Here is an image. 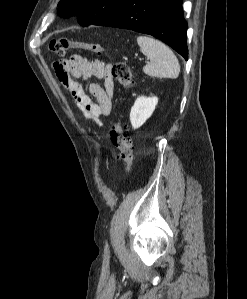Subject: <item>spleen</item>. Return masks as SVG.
<instances>
[{"label": "spleen", "mask_w": 247, "mask_h": 299, "mask_svg": "<svg viewBox=\"0 0 247 299\" xmlns=\"http://www.w3.org/2000/svg\"><path fill=\"white\" fill-rule=\"evenodd\" d=\"M140 51L150 59L144 66L145 74L152 77L175 79L180 73V64L173 51L161 41L147 36H139Z\"/></svg>", "instance_id": "1"}]
</instances>
